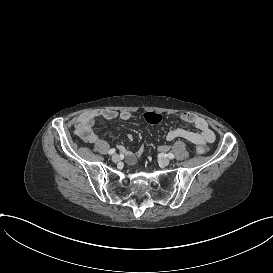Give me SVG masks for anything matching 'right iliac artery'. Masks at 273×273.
I'll use <instances>...</instances> for the list:
<instances>
[{
  "mask_svg": "<svg viewBox=\"0 0 273 273\" xmlns=\"http://www.w3.org/2000/svg\"><path fill=\"white\" fill-rule=\"evenodd\" d=\"M115 152V149H110L109 151H108V153L111 155V154H113Z\"/></svg>",
  "mask_w": 273,
  "mask_h": 273,
  "instance_id": "obj_1",
  "label": "right iliac artery"
}]
</instances>
